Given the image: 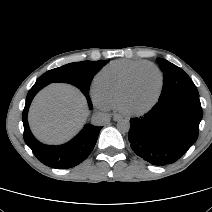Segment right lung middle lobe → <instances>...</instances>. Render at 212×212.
I'll list each match as a JSON object with an SVG mask.
<instances>
[{
  "instance_id": "1",
  "label": "right lung middle lobe",
  "mask_w": 212,
  "mask_h": 212,
  "mask_svg": "<svg viewBox=\"0 0 212 212\" xmlns=\"http://www.w3.org/2000/svg\"><path fill=\"white\" fill-rule=\"evenodd\" d=\"M107 63V60L69 63L47 71L36 82L47 85L54 82L69 83L79 88L83 93L88 94L93 75Z\"/></svg>"
}]
</instances>
